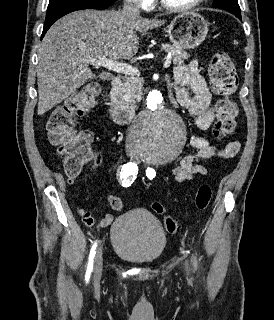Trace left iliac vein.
Masks as SVG:
<instances>
[{
	"instance_id": "4c4485c4",
	"label": "left iliac vein",
	"mask_w": 274,
	"mask_h": 320,
	"mask_svg": "<svg viewBox=\"0 0 274 320\" xmlns=\"http://www.w3.org/2000/svg\"><path fill=\"white\" fill-rule=\"evenodd\" d=\"M185 266H186V268H188V264L187 263H185Z\"/></svg>"
}]
</instances>
